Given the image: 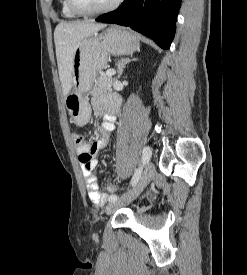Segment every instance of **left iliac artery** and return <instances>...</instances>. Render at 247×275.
<instances>
[{
    "mask_svg": "<svg viewBox=\"0 0 247 275\" xmlns=\"http://www.w3.org/2000/svg\"><path fill=\"white\" fill-rule=\"evenodd\" d=\"M151 154H152V151L150 149V147H144L143 148V152H142V164L140 165V167H138L131 179V185L132 187H135L136 184L138 183L139 179H140V176H141V172H142V169H143V166L145 164H147L151 158ZM109 202H113V201H116L118 200V196L115 195V194H112L109 196L108 198Z\"/></svg>",
    "mask_w": 247,
    "mask_h": 275,
    "instance_id": "44dca946",
    "label": "left iliac artery"
}]
</instances>
